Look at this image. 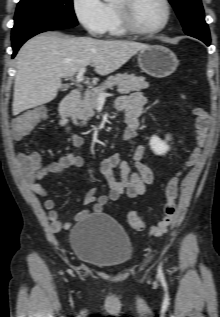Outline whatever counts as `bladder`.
Here are the masks:
<instances>
[{"label":"bladder","instance_id":"obj_1","mask_svg":"<svg viewBox=\"0 0 220 317\" xmlns=\"http://www.w3.org/2000/svg\"><path fill=\"white\" fill-rule=\"evenodd\" d=\"M70 244L81 262L109 270L126 266L134 254L124 228L103 213L87 215L78 222L70 232Z\"/></svg>","mask_w":220,"mask_h":317}]
</instances>
